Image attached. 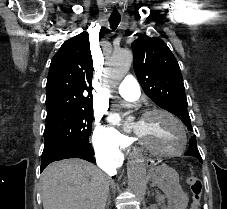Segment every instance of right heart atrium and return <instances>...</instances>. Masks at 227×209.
Here are the masks:
<instances>
[{
    "instance_id": "obj_1",
    "label": "right heart atrium",
    "mask_w": 227,
    "mask_h": 209,
    "mask_svg": "<svg viewBox=\"0 0 227 209\" xmlns=\"http://www.w3.org/2000/svg\"><path fill=\"white\" fill-rule=\"evenodd\" d=\"M92 144L95 151L105 156H120L129 144V140L110 125L97 121Z\"/></svg>"
}]
</instances>
